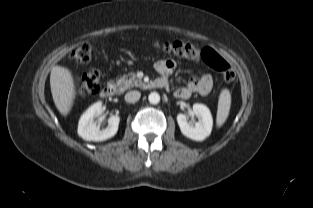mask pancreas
Returning a JSON list of instances; mask_svg holds the SVG:
<instances>
[{
    "instance_id": "cf45deb5",
    "label": "pancreas",
    "mask_w": 313,
    "mask_h": 208,
    "mask_svg": "<svg viewBox=\"0 0 313 208\" xmlns=\"http://www.w3.org/2000/svg\"><path fill=\"white\" fill-rule=\"evenodd\" d=\"M116 84L119 88V91L124 92L131 87H140L143 83L140 79L136 78L134 73H132L129 79L127 75H123L120 79L117 80Z\"/></svg>"
}]
</instances>
